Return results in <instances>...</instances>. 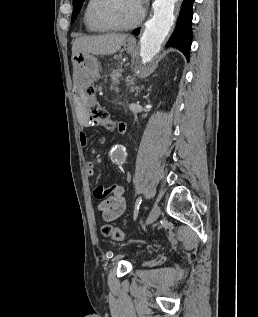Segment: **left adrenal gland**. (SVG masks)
<instances>
[{
    "label": "left adrenal gland",
    "instance_id": "obj_1",
    "mask_svg": "<svg viewBox=\"0 0 258 317\" xmlns=\"http://www.w3.org/2000/svg\"><path fill=\"white\" fill-rule=\"evenodd\" d=\"M141 88H143V84H141ZM141 88H139V86H136V88H132V90H136L135 96H138V92H140Z\"/></svg>",
    "mask_w": 258,
    "mask_h": 317
}]
</instances>
